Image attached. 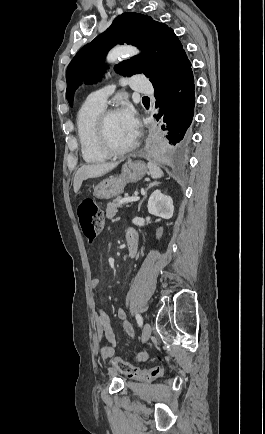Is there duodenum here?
I'll return each mask as SVG.
<instances>
[{
	"label": "duodenum",
	"mask_w": 265,
	"mask_h": 434,
	"mask_svg": "<svg viewBox=\"0 0 265 434\" xmlns=\"http://www.w3.org/2000/svg\"><path fill=\"white\" fill-rule=\"evenodd\" d=\"M129 258H134L138 252V242L136 239L130 241L127 247Z\"/></svg>",
	"instance_id": "1"
}]
</instances>
